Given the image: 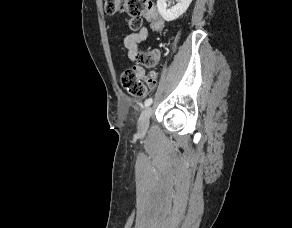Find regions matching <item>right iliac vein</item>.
<instances>
[{"label":"right iliac vein","instance_id":"obj_1","mask_svg":"<svg viewBox=\"0 0 292 228\" xmlns=\"http://www.w3.org/2000/svg\"><path fill=\"white\" fill-rule=\"evenodd\" d=\"M152 113V109L150 107L143 110L138 120V132L141 135H144L149 126V119Z\"/></svg>","mask_w":292,"mask_h":228}]
</instances>
